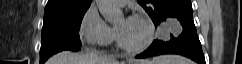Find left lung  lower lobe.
<instances>
[{
  "mask_svg": "<svg viewBox=\"0 0 242 64\" xmlns=\"http://www.w3.org/2000/svg\"><path fill=\"white\" fill-rule=\"evenodd\" d=\"M167 18H175L183 27L179 38L171 39L168 42L154 40L151 46L135 58H147L162 54H178L188 57L198 64H205L202 46L197 36L196 27L193 21L192 6H187L170 13Z\"/></svg>",
  "mask_w": 242,
  "mask_h": 64,
  "instance_id": "obj_1",
  "label": "left lung lower lobe"
}]
</instances>
